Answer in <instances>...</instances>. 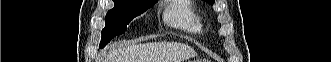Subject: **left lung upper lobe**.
Listing matches in <instances>:
<instances>
[{
	"label": "left lung upper lobe",
	"mask_w": 331,
	"mask_h": 62,
	"mask_svg": "<svg viewBox=\"0 0 331 62\" xmlns=\"http://www.w3.org/2000/svg\"><path fill=\"white\" fill-rule=\"evenodd\" d=\"M205 1L209 3H214L215 0H205Z\"/></svg>",
	"instance_id": "left-lung-upper-lobe-1"
}]
</instances>
